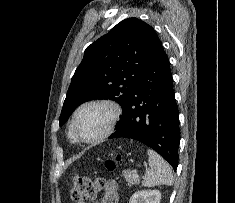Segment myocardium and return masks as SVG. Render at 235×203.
<instances>
[{"instance_id": "f54148a6", "label": "myocardium", "mask_w": 235, "mask_h": 203, "mask_svg": "<svg viewBox=\"0 0 235 203\" xmlns=\"http://www.w3.org/2000/svg\"><path fill=\"white\" fill-rule=\"evenodd\" d=\"M92 105L107 106L111 110L112 115H111V119H110V122H109L107 128L105 129V131L102 134H100L99 136L92 138V139H85L79 135V133L76 129V120H77L79 113L84 108H86L88 106H92ZM121 115H122V109L117 102L110 100V99H106V98L92 99V100L84 102L75 110V112L73 113L72 119H71L70 130H71L74 138L78 142H82V143H86V144H95V143H98V142L104 140L105 138H107L108 136H110L113 133L116 125L118 124V122L121 118Z\"/></svg>"}]
</instances>
